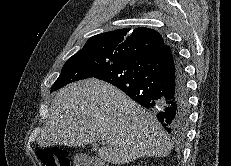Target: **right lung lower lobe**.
<instances>
[{
  "instance_id": "right-lung-lower-lobe-1",
  "label": "right lung lower lobe",
  "mask_w": 231,
  "mask_h": 166,
  "mask_svg": "<svg viewBox=\"0 0 231 166\" xmlns=\"http://www.w3.org/2000/svg\"><path fill=\"white\" fill-rule=\"evenodd\" d=\"M93 78L116 86L152 111L169 134L176 137L185 134L188 91L180 58L170 46L120 61Z\"/></svg>"
}]
</instances>
